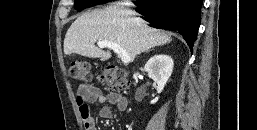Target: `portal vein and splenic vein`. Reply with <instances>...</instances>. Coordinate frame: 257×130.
I'll return each mask as SVG.
<instances>
[{
    "label": "portal vein and splenic vein",
    "instance_id": "18ae733b",
    "mask_svg": "<svg viewBox=\"0 0 257 130\" xmlns=\"http://www.w3.org/2000/svg\"><path fill=\"white\" fill-rule=\"evenodd\" d=\"M97 45L100 48L112 49L118 55V57L121 58V61L125 64L131 61L130 55L116 43L109 42V41H97Z\"/></svg>",
    "mask_w": 257,
    "mask_h": 130
}]
</instances>
